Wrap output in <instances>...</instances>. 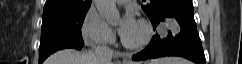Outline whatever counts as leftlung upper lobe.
I'll return each instance as SVG.
<instances>
[{
  "label": "left lung upper lobe",
  "mask_w": 242,
  "mask_h": 64,
  "mask_svg": "<svg viewBox=\"0 0 242 64\" xmlns=\"http://www.w3.org/2000/svg\"><path fill=\"white\" fill-rule=\"evenodd\" d=\"M147 1L142 5V9L147 14L151 22L156 21L166 10L192 0H143Z\"/></svg>",
  "instance_id": "1"
}]
</instances>
